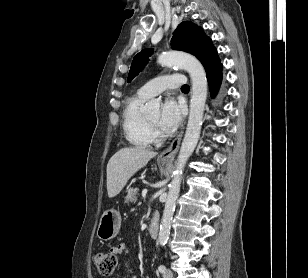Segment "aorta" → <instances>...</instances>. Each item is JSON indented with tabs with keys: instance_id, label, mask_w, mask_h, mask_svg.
Wrapping results in <instances>:
<instances>
[{
	"instance_id": "762f6f07",
	"label": "aorta",
	"mask_w": 308,
	"mask_h": 278,
	"mask_svg": "<svg viewBox=\"0 0 308 278\" xmlns=\"http://www.w3.org/2000/svg\"><path fill=\"white\" fill-rule=\"evenodd\" d=\"M158 63L166 66H178L185 69L191 78L192 96L186 133L180 148L176 169L173 173L159 231V243L164 246L170 235L172 217L180 192L181 176L188 158L193 153L199 140L205 102L207 98V78L202 64L192 55L179 51L163 52ZM160 103L151 100L145 105L148 112H157Z\"/></svg>"
}]
</instances>
